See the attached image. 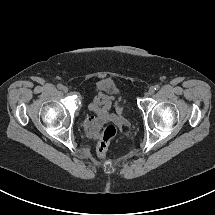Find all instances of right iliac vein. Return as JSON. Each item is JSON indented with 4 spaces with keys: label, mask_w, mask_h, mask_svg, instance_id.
<instances>
[{
    "label": "right iliac vein",
    "mask_w": 215,
    "mask_h": 215,
    "mask_svg": "<svg viewBox=\"0 0 215 215\" xmlns=\"http://www.w3.org/2000/svg\"><path fill=\"white\" fill-rule=\"evenodd\" d=\"M62 90H63V92L67 93V92H68V87L64 86V87L62 88Z\"/></svg>",
    "instance_id": "obj_1"
}]
</instances>
